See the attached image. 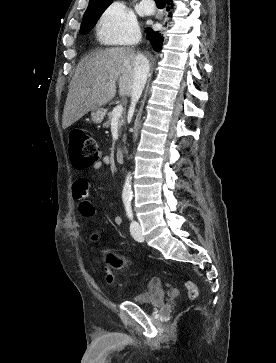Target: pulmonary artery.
<instances>
[{
  "mask_svg": "<svg viewBox=\"0 0 276 363\" xmlns=\"http://www.w3.org/2000/svg\"><path fill=\"white\" fill-rule=\"evenodd\" d=\"M141 6H142V10H143V13H144V14L150 15V14H152V13L154 12L153 7H151V6L149 5L148 0H143V1L141 2Z\"/></svg>",
  "mask_w": 276,
  "mask_h": 363,
  "instance_id": "obj_1",
  "label": "pulmonary artery"
}]
</instances>
